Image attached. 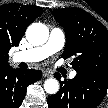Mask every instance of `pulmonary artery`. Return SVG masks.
I'll return each mask as SVG.
<instances>
[{"label": "pulmonary artery", "mask_w": 108, "mask_h": 108, "mask_svg": "<svg viewBox=\"0 0 108 108\" xmlns=\"http://www.w3.org/2000/svg\"><path fill=\"white\" fill-rule=\"evenodd\" d=\"M65 36L61 29L54 28L50 32L48 41L39 47L27 51L17 52L13 56L15 62H39L62 49ZM76 71H71L70 78L76 76Z\"/></svg>", "instance_id": "obj_1"}]
</instances>
